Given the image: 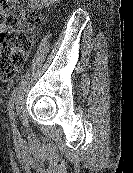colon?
I'll use <instances>...</instances> for the list:
<instances>
[{"mask_svg":"<svg viewBox=\"0 0 133 173\" xmlns=\"http://www.w3.org/2000/svg\"><path fill=\"white\" fill-rule=\"evenodd\" d=\"M18 0H0V79L12 78L24 63L41 17L31 11L17 10Z\"/></svg>","mask_w":133,"mask_h":173,"instance_id":"1","label":"colon"}]
</instances>
